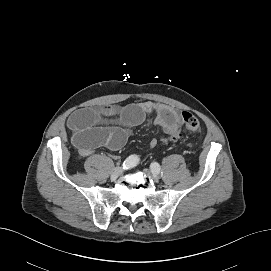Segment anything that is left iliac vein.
I'll list each match as a JSON object with an SVG mask.
<instances>
[{"instance_id": "left-iliac-vein-1", "label": "left iliac vein", "mask_w": 271, "mask_h": 271, "mask_svg": "<svg viewBox=\"0 0 271 271\" xmlns=\"http://www.w3.org/2000/svg\"><path fill=\"white\" fill-rule=\"evenodd\" d=\"M144 172H145L147 175L151 176L152 179H153L155 182H157V181L159 180L158 174L153 173V172L150 171L149 169H144Z\"/></svg>"}]
</instances>
